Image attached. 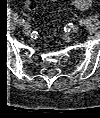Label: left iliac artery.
Returning a JSON list of instances; mask_svg holds the SVG:
<instances>
[{"label":"left iliac artery","instance_id":"obj_1","mask_svg":"<svg viewBox=\"0 0 100 118\" xmlns=\"http://www.w3.org/2000/svg\"><path fill=\"white\" fill-rule=\"evenodd\" d=\"M79 24L81 26H85L87 24V22L84 19H81V20H79Z\"/></svg>","mask_w":100,"mask_h":118}]
</instances>
